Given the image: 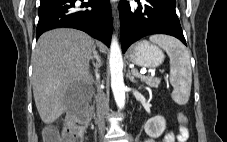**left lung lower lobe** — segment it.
I'll list each match as a JSON object with an SVG mask.
<instances>
[{
    "label": "left lung lower lobe",
    "mask_w": 227,
    "mask_h": 142,
    "mask_svg": "<svg viewBox=\"0 0 227 142\" xmlns=\"http://www.w3.org/2000/svg\"><path fill=\"white\" fill-rule=\"evenodd\" d=\"M138 7L130 6L129 1L119 3L122 52L139 40L151 34H167L186 41L176 15L175 0H135Z\"/></svg>",
    "instance_id": "obj_1"
}]
</instances>
